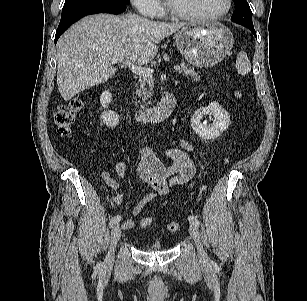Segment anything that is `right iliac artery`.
I'll list each match as a JSON object with an SVG mask.
<instances>
[{
  "label": "right iliac artery",
  "mask_w": 307,
  "mask_h": 301,
  "mask_svg": "<svg viewBox=\"0 0 307 301\" xmlns=\"http://www.w3.org/2000/svg\"><path fill=\"white\" fill-rule=\"evenodd\" d=\"M120 220H121V216H120V215L114 216V217L110 220V227H113L114 225L118 224Z\"/></svg>",
  "instance_id": "82829eb1"
}]
</instances>
